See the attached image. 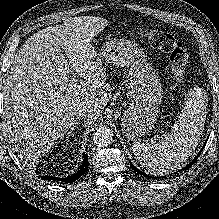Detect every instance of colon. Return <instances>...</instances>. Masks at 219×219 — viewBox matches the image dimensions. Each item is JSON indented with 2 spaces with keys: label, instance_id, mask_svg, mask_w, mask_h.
<instances>
[{
  "label": "colon",
  "instance_id": "colon-1",
  "mask_svg": "<svg viewBox=\"0 0 219 219\" xmlns=\"http://www.w3.org/2000/svg\"><path fill=\"white\" fill-rule=\"evenodd\" d=\"M134 34L169 54V60L177 85L184 83L188 52L184 44L173 35L155 30H136Z\"/></svg>",
  "mask_w": 219,
  "mask_h": 219
}]
</instances>
